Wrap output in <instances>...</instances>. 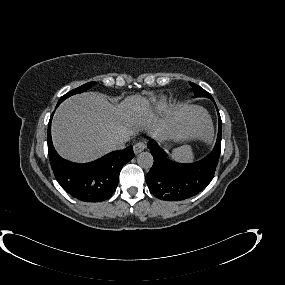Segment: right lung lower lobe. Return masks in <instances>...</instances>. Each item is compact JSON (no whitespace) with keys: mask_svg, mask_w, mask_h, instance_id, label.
<instances>
[{"mask_svg":"<svg viewBox=\"0 0 285 285\" xmlns=\"http://www.w3.org/2000/svg\"><path fill=\"white\" fill-rule=\"evenodd\" d=\"M61 102H58L57 106ZM56 106V107H57ZM48 124V152L55 177L71 196L85 202H101L112 196L119 181V173L125 163L134 157L133 147L111 152L102 158L77 164L60 157L51 139V120Z\"/></svg>","mask_w":285,"mask_h":285,"instance_id":"obj_1","label":"right lung lower lobe"}]
</instances>
